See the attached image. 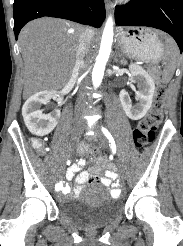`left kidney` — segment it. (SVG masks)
Returning <instances> with one entry per match:
<instances>
[{
  "label": "left kidney",
  "mask_w": 183,
  "mask_h": 246,
  "mask_svg": "<svg viewBox=\"0 0 183 246\" xmlns=\"http://www.w3.org/2000/svg\"><path fill=\"white\" fill-rule=\"evenodd\" d=\"M121 62L124 65L127 64L124 60ZM129 71L132 80L137 82L138 91L136 95L138 97V103L133 105L125 90L120 91L119 98L125 114L132 120H139L147 114L152 105L155 83L152 76L139 65L130 64Z\"/></svg>",
  "instance_id": "5707ae66"
}]
</instances>
